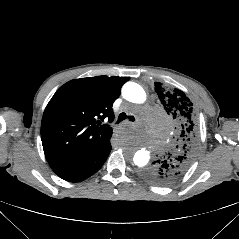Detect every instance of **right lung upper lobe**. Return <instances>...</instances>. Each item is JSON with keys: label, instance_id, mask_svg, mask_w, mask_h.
I'll return each instance as SVG.
<instances>
[{"label": "right lung upper lobe", "instance_id": "cb5924a9", "mask_svg": "<svg viewBox=\"0 0 239 239\" xmlns=\"http://www.w3.org/2000/svg\"><path fill=\"white\" fill-rule=\"evenodd\" d=\"M129 77L96 76L75 79L60 87L45 108L41 140L45 157L57 173L96 150L112 128L113 102Z\"/></svg>", "mask_w": 239, "mask_h": 239}]
</instances>
